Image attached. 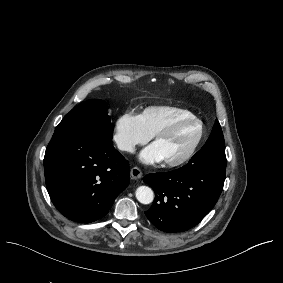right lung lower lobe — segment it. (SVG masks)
<instances>
[{
  "label": "right lung lower lobe",
  "mask_w": 283,
  "mask_h": 283,
  "mask_svg": "<svg viewBox=\"0 0 283 283\" xmlns=\"http://www.w3.org/2000/svg\"><path fill=\"white\" fill-rule=\"evenodd\" d=\"M49 196L65 217L90 223L105 216L128 186V161L112 139L74 132L54 134L44 157Z\"/></svg>",
  "instance_id": "1"
}]
</instances>
